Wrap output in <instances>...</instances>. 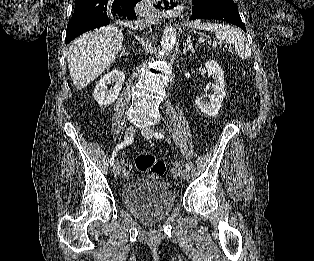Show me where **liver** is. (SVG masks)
Listing matches in <instances>:
<instances>
[{
    "label": "liver",
    "instance_id": "1",
    "mask_svg": "<svg viewBox=\"0 0 314 261\" xmlns=\"http://www.w3.org/2000/svg\"><path fill=\"white\" fill-rule=\"evenodd\" d=\"M123 33L109 25L87 32L73 41L68 50V69L74 86L82 89L97 79L116 59Z\"/></svg>",
    "mask_w": 314,
    "mask_h": 261
}]
</instances>
